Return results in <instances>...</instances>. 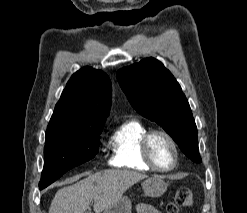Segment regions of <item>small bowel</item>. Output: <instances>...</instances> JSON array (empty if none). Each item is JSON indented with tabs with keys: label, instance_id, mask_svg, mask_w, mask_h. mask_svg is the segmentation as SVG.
<instances>
[{
	"label": "small bowel",
	"instance_id": "1",
	"mask_svg": "<svg viewBox=\"0 0 247 213\" xmlns=\"http://www.w3.org/2000/svg\"><path fill=\"white\" fill-rule=\"evenodd\" d=\"M137 212L138 213H161L156 207L150 205L141 203L137 206Z\"/></svg>",
	"mask_w": 247,
	"mask_h": 213
}]
</instances>
